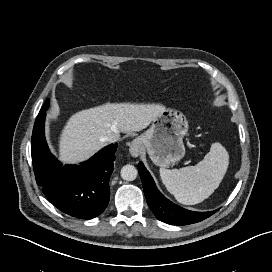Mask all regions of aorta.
<instances>
[{"label": "aorta", "mask_w": 272, "mask_h": 272, "mask_svg": "<svg viewBox=\"0 0 272 272\" xmlns=\"http://www.w3.org/2000/svg\"><path fill=\"white\" fill-rule=\"evenodd\" d=\"M138 174L137 169L130 164H127L121 169V177L126 181H133L136 179Z\"/></svg>", "instance_id": "obj_1"}]
</instances>
